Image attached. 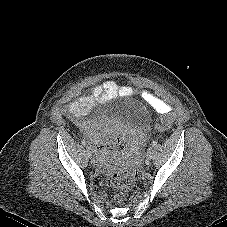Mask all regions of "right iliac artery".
I'll return each mask as SVG.
<instances>
[{"instance_id":"right-iliac-artery-1","label":"right iliac artery","mask_w":227,"mask_h":227,"mask_svg":"<svg viewBox=\"0 0 227 227\" xmlns=\"http://www.w3.org/2000/svg\"><path fill=\"white\" fill-rule=\"evenodd\" d=\"M83 145H86V141L85 140H82L81 141Z\"/></svg>"}]
</instances>
